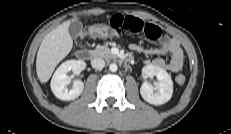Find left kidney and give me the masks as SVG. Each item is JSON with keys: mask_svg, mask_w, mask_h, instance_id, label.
Returning a JSON list of instances; mask_svg holds the SVG:
<instances>
[{"mask_svg": "<svg viewBox=\"0 0 231 134\" xmlns=\"http://www.w3.org/2000/svg\"><path fill=\"white\" fill-rule=\"evenodd\" d=\"M145 78L157 77L158 82L154 86L144 82L140 88L142 98L153 105H162L168 102L173 94V82L170 75L161 67L146 65L142 69Z\"/></svg>", "mask_w": 231, "mask_h": 134, "instance_id": "5707ae66", "label": "left kidney"}]
</instances>
